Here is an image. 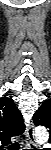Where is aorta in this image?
<instances>
[{"label":"aorta","instance_id":"762f6f07","mask_svg":"<svg viewBox=\"0 0 51 150\" xmlns=\"http://www.w3.org/2000/svg\"><path fill=\"white\" fill-rule=\"evenodd\" d=\"M35 140L38 144H43L47 142L49 134L47 129L43 126H39L35 129Z\"/></svg>","mask_w":51,"mask_h":150}]
</instances>
